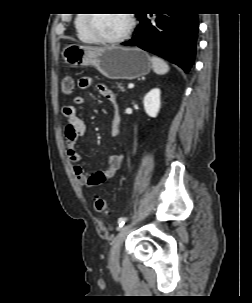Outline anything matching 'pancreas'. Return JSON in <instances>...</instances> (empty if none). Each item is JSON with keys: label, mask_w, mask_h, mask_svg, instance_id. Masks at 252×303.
Returning <instances> with one entry per match:
<instances>
[{"label": "pancreas", "mask_w": 252, "mask_h": 303, "mask_svg": "<svg viewBox=\"0 0 252 303\" xmlns=\"http://www.w3.org/2000/svg\"><path fill=\"white\" fill-rule=\"evenodd\" d=\"M117 87L121 90V91H125L124 87L121 85V83H117Z\"/></svg>", "instance_id": "pancreas-1"}]
</instances>
